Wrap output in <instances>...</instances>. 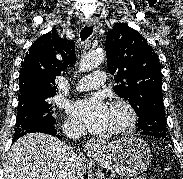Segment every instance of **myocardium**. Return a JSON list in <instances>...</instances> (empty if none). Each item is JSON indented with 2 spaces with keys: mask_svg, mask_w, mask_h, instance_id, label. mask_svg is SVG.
Returning <instances> with one entry per match:
<instances>
[{
  "mask_svg": "<svg viewBox=\"0 0 183 179\" xmlns=\"http://www.w3.org/2000/svg\"><path fill=\"white\" fill-rule=\"evenodd\" d=\"M111 107L122 109L125 113L124 121L111 128L110 134H121L132 130L137 123V113L130 102L124 99H116L111 102Z\"/></svg>",
  "mask_w": 183,
  "mask_h": 179,
  "instance_id": "f54148a6",
  "label": "myocardium"
}]
</instances>
